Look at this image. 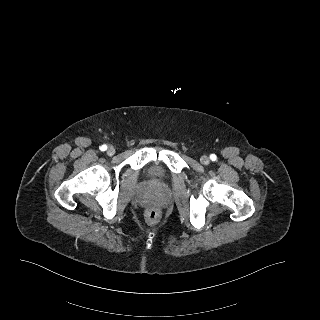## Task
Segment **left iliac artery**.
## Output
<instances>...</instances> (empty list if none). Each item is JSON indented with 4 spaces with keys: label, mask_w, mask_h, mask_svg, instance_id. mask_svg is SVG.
<instances>
[{
    "label": "left iliac artery",
    "mask_w": 320,
    "mask_h": 320,
    "mask_svg": "<svg viewBox=\"0 0 320 320\" xmlns=\"http://www.w3.org/2000/svg\"><path fill=\"white\" fill-rule=\"evenodd\" d=\"M216 158H217V157H216V155H215V154H211V155H210V159H211L212 161H215V160H216Z\"/></svg>",
    "instance_id": "left-iliac-artery-1"
}]
</instances>
